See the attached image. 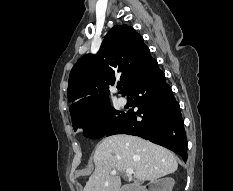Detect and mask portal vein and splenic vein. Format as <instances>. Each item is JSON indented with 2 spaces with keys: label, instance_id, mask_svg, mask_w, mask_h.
<instances>
[{
  "label": "portal vein and splenic vein",
  "instance_id": "18ae733b",
  "mask_svg": "<svg viewBox=\"0 0 233 191\" xmlns=\"http://www.w3.org/2000/svg\"><path fill=\"white\" fill-rule=\"evenodd\" d=\"M133 173H134V171H133L132 169H127V170H126V174H127V175H132ZM111 174H112V175H116V174H117V171H116V170H112V171H111Z\"/></svg>",
  "mask_w": 233,
  "mask_h": 191
}]
</instances>
